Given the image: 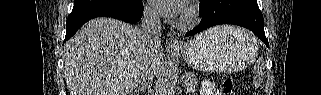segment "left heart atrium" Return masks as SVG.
Here are the masks:
<instances>
[{"instance_id": "obj_1", "label": "left heart atrium", "mask_w": 321, "mask_h": 95, "mask_svg": "<svg viewBox=\"0 0 321 95\" xmlns=\"http://www.w3.org/2000/svg\"><path fill=\"white\" fill-rule=\"evenodd\" d=\"M156 10L165 16H177L184 8L185 2L182 0H151Z\"/></svg>"}]
</instances>
